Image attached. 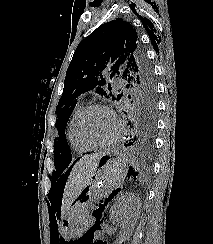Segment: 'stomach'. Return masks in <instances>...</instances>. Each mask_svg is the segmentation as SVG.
Returning <instances> with one entry per match:
<instances>
[{
  "instance_id": "0dacf381",
  "label": "stomach",
  "mask_w": 213,
  "mask_h": 244,
  "mask_svg": "<svg viewBox=\"0 0 213 244\" xmlns=\"http://www.w3.org/2000/svg\"><path fill=\"white\" fill-rule=\"evenodd\" d=\"M119 153V149H105L90 183L74 199L61 220L60 231L64 236H73L86 229L88 210L85 201L108 196L122 185L127 169Z\"/></svg>"
}]
</instances>
